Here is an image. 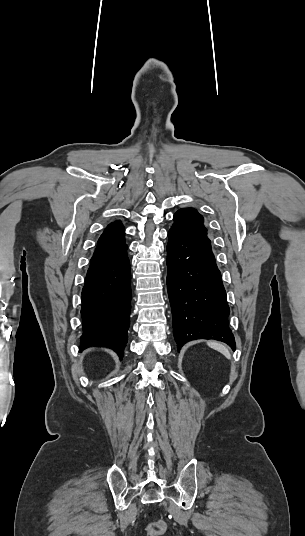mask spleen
Listing matches in <instances>:
<instances>
[{
    "label": "spleen",
    "instance_id": "3e777b00",
    "mask_svg": "<svg viewBox=\"0 0 305 536\" xmlns=\"http://www.w3.org/2000/svg\"><path fill=\"white\" fill-rule=\"evenodd\" d=\"M209 348H213V350H217V352H221V354H224V356H226V358H231L227 348H225V346H223V344H218V342H207Z\"/></svg>",
    "mask_w": 305,
    "mask_h": 536
}]
</instances>
